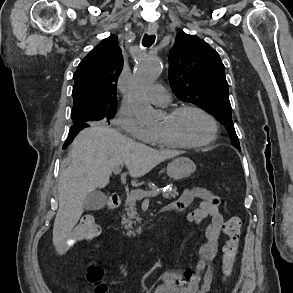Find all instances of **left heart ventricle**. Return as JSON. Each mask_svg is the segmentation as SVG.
Returning a JSON list of instances; mask_svg holds the SVG:
<instances>
[{
	"label": "left heart ventricle",
	"mask_w": 293,
	"mask_h": 293,
	"mask_svg": "<svg viewBox=\"0 0 293 293\" xmlns=\"http://www.w3.org/2000/svg\"><path fill=\"white\" fill-rule=\"evenodd\" d=\"M211 132L208 120L195 111H187L175 119L166 116L159 133L173 134L183 141L197 143L205 140Z\"/></svg>",
	"instance_id": "left-heart-ventricle-1"
}]
</instances>
